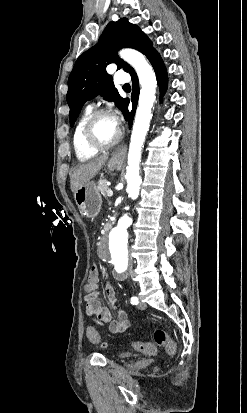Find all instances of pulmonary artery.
I'll list each match as a JSON object with an SVG mask.
<instances>
[{
	"instance_id": "1",
	"label": "pulmonary artery",
	"mask_w": 247,
	"mask_h": 413,
	"mask_svg": "<svg viewBox=\"0 0 247 413\" xmlns=\"http://www.w3.org/2000/svg\"><path fill=\"white\" fill-rule=\"evenodd\" d=\"M127 71L124 68H121L118 70V75L114 77V82L119 86L122 87L124 86H129L130 85V80L128 76L126 75Z\"/></svg>"
}]
</instances>
